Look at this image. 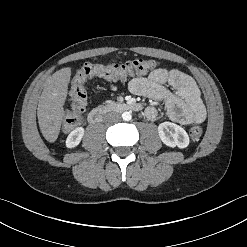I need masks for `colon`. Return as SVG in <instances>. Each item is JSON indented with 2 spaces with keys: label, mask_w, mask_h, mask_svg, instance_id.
Segmentation results:
<instances>
[{
  "label": "colon",
  "mask_w": 247,
  "mask_h": 247,
  "mask_svg": "<svg viewBox=\"0 0 247 247\" xmlns=\"http://www.w3.org/2000/svg\"><path fill=\"white\" fill-rule=\"evenodd\" d=\"M159 63L153 59H133L123 64H91L86 63L75 73L71 84V112L67 114L63 130L69 132L82 121V114L87 104V92L85 83L93 77H104L111 80H121L129 76L144 75L155 70ZM190 137L197 141L203 135V130L199 126L190 129Z\"/></svg>",
  "instance_id": "obj_1"
}]
</instances>
